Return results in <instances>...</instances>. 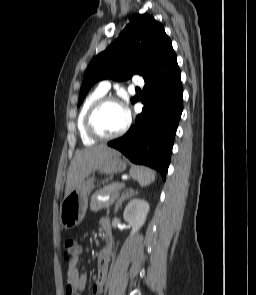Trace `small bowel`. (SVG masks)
I'll return each instance as SVG.
<instances>
[{
    "instance_id": "obj_1",
    "label": "small bowel",
    "mask_w": 256,
    "mask_h": 295,
    "mask_svg": "<svg viewBox=\"0 0 256 295\" xmlns=\"http://www.w3.org/2000/svg\"><path fill=\"white\" fill-rule=\"evenodd\" d=\"M100 224L105 233L108 234L110 232V224L108 219H102ZM111 251L112 244L108 243L98 255L97 277L92 286L93 295H101L104 290V286L107 281ZM78 263V259L68 263L66 272V295H80L86 287L87 278L85 274L79 271Z\"/></svg>"
}]
</instances>
